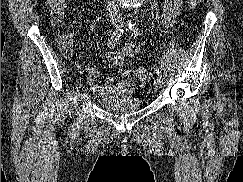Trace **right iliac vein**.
Listing matches in <instances>:
<instances>
[{"mask_svg":"<svg viewBox=\"0 0 243 182\" xmlns=\"http://www.w3.org/2000/svg\"><path fill=\"white\" fill-rule=\"evenodd\" d=\"M81 88V96L83 98V96L86 94V89L85 86L83 84L80 85ZM77 123H80V120L78 119Z\"/></svg>","mask_w":243,"mask_h":182,"instance_id":"63e3f726","label":"right iliac vein"}]
</instances>
